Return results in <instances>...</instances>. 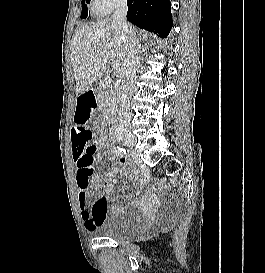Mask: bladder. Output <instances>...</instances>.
Instances as JSON below:
<instances>
[{
    "instance_id": "31cf9c89",
    "label": "bladder",
    "mask_w": 265,
    "mask_h": 273,
    "mask_svg": "<svg viewBox=\"0 0 265 273\" xmlns=\"http://www.w3.org/2000/svg\"><path fill=\"white\" fill-rule=\"evenodd\" d=\"M141 219L136 213H115L102 220L95 233L100 237L120 241L138 234Z\"/></svg>"
}]
</instances>
